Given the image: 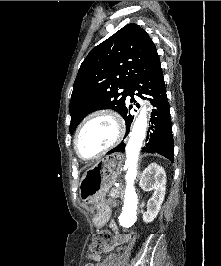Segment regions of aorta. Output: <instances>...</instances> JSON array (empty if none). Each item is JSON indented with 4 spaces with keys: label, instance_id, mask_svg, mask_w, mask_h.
<instances>
[{
    "label": "aorta",
    "instance_id": "aorta-1",
    "mask_svg": "<svg viewBox=\"0 0 221 266\" xmlns=\"http://www.w3.org/2000/svg\"><path fill=\"white\" fill-rule=\"evenodd\" d=\"M147 129V109L143 108L136 118L129 140L126 145L125 176L126 188L124 192V207L120 217V222L124 226L132 225L136 220L137 193L134 187V181L137 176V163L143 141L146 137Z\"/></svg>",
    "mask_w": 221,
    "mask_h": 266
}]
</instances>
